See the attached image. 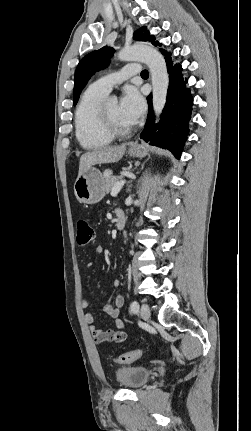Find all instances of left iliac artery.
I'll use <instances>...</instances> for the list:
<instances>
[{
    "label": "left iliac artery",
    "instance_id": "1",
    "mask_svg": "<svg viewBox=\"0 0 251 431\" xmlns=\"http://www.w3.org/2000/svg\"><path fill=\"white\" fill-rule=\"evenodd\" d=\"M138 310H139V304H138V302H137V301H133V302L131 303V305H130V311H131L132 313H137V312H138Z\"/></svg>",
    "mask_w": 251,
    "mask_h": 431
}]
</instances>
